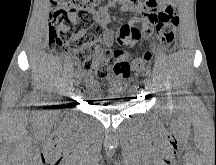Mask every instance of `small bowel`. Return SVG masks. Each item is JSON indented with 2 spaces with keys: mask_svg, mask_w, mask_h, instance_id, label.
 Listing matches in <instances>:
<instances>
[{
  "mask_svg": "<svg viewBox=\"0 0 216 165\" xmlns=\"http://www.w3.org/2000/svg\"><path fill=\"white\" fill-rule=\"evenodd\" d=\"M178 0H111L109 6L101 7L98 11H94L97 22L104 28L103 45L110 47L114 41V32L108 29V25L113 22L109 16L108 8L120 5L121 11L125 13H142L141 18H133L132 26L140 31L141 34L148 35L153 26L152 17L163 10H175ZM130 41L128 45H134L138 40ZM122 77H128L130 72L118 73ZM94 89V85L92 86Z\"/></svg>",
  "mask_w": 216,
  "mask_h": 165,
  "instance_id": "small-bowel-1",
  "label": "small bowel"
}]
</instances>
